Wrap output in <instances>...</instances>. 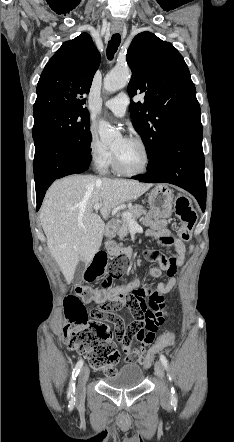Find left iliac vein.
<instances>
[{"instance_id":"1","label":"left iliac vein","mask_w":234,"mask_h":442,"mask_svg":"<svg viewBox=\"0 0 234 442\" xmlns=\"http://www.w3.org/2000/svg\"><path fill=\"white\" fill-rule=\"evenodd\" d=\"M154 368H155V373L161 383V399L163 401H168L170 396H169V390L167 388L166 381H165V370H164V366H163L162 362L157 361L155 363Z\"/></svg>"}]
</instances>
